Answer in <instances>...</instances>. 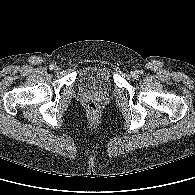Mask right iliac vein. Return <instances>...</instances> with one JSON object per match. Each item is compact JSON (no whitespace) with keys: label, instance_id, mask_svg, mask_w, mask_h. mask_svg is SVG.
Wrapping results in <instances>:
<instances>
[{"label":"right iliac vein","instance_id":"1","mask_svg":"<svg viewBox=\"0 0 195 195\" xmlns=\"http://www.w3.org/2000/svg\"><path fill=\"white\" fill-rule=\"evenodd\" d=\"M54 71L58 72L59 71V67L58 66H55L54 67Z\"/></svg>","mask_w":195,"mask_h":195}]
</instances>
